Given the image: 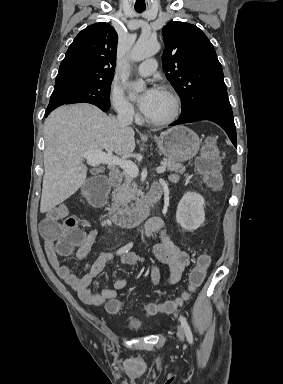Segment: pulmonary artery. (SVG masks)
Returning a JSON list of instances; mask_svg holds the SVG:
<instances>
[{
	"instance_id": "e3ab8cb5",
	"label": "pulmonary artery",
	"mask_w": 283,
	"mask_h": 384,
	"mask_svg": "<svg viewBox=\"0 0 283 384\" xmlns=\"http://www.w3.org/2000/svg\"><path fill=\"white\" fill-rule=\"evenodd\" d=\"M156 69H157L156 61H145V63L144 62L139 63L136 66L135 71L138 75L148 76V75H151L154 71H156Z\"/></svg>"
}]
</instances>
